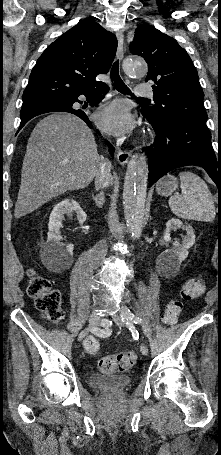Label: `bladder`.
Masks as SVG:
<instances>
[{
	"instance_id": "1",
	"label": "bladder",
	"mask_w": 221,
	"mask_h": 455,
	"mask_svg": "<svg viewBox=\"0 0 221 455\" xmlns=\"http://www.w3.org/2000/svg\"><path fill=\"white\" fill-rule=\"evenodd\" d=\"M92 388L101 390H122L130 384L128 375L92 374L89 377Z\"/></svg>"
}]
</instances>
